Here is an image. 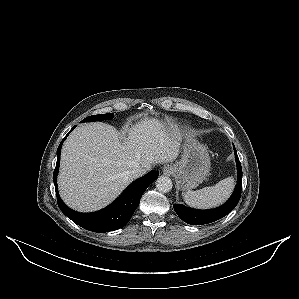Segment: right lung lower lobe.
I'll return each mask as SVG.
<instances>
[{
  "label": "right lung lower lobe",
  "mask_w": 299,
  "mask_h": 299,
  "mask_svg": "<svg viewBox=\"0 0 299 299\" xmlns=\"http://www.w3.org/2000/svg\"><path fill=\"white\" fill-rule=\"evenodd\" d=\"M75 127L76 126H74L70 131H72ZM68 134L61 141L57 149V162L53 173V182L56 189L59 208L73 222L89 231L104 233L124 227L139 205L142 194L148 186L157 179L159 173L150 172L137 179L127 187L117 200L102 211L95 213H78L64 204L57 191V174L59 171L61 147Z\"/></svg>",
  "instance_id": "98d812e1"
}]
</instances>
